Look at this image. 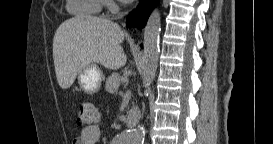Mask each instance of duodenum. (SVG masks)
Masks as SVG:
<instances>
[{"label":"duodenum","mask_w":273,"mask_h":144,"mask_svg":"<svg viewBox=\"0 0 273 144\" xmlns=\"http://www.w3.org/2000/svg\"><path fill=\"white\" fill-rule=\"evenodd\" d=\"M139 120V112L135 109H129L126 117H125V124L126 126H135Z\"/></svg>","instance_id":"1"}]
</instances>
